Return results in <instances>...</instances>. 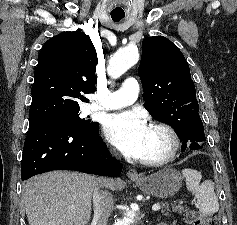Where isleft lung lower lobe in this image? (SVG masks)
Masks as SVG:
<instances>
[{
  "label": "left lung lower lobe",
  "mask_w": 237,
  "mask_h": 225,
  "mask_svg": "<svg viewBox=\"0 0 237 225\" xmlns=\"http://www.w3.org/2000/svg\"><path fill=\"white\" fill-rule=\"evenodd\" d=\"M182 142V151L189 147L191 150L202 149L201 142L205 139L203 123L196 115L189 124L177 133Z\"/></svg>",
  "instance_id": "left-lung-lower-lobe-1"
}]
</instances>
